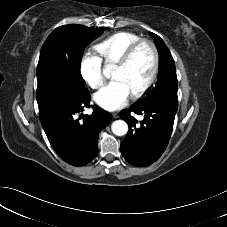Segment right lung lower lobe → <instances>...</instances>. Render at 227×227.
<instances>
[{"label":"right lung lower lobe","instance_id":"obj_1","mask_svg":"<svg viewBox=\"0 0 227 227\" xmlns=\"http://www.w3.org/2000/svg\"><path fill=\"white\" fill-rule=\"evenodd\" d=\"M38 107L47 138L65 162L83 166L96 157L99 132L110 123L111 115L90 105L86 89L57 96ZM90 107L92 114H83L84 109Z\"/></svg>","mask_w":227,"mask_h":227}]
</instances>
